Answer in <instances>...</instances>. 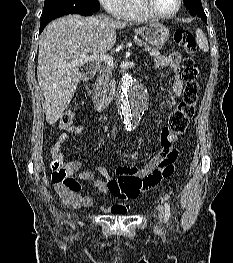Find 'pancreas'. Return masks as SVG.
<instances>
[{
    "mask_svg": "<svg viewBox=\"0 0 233 263\" xmlns=\"http://www.w3.org/2000/svg\"><path fill=\"white\" fill-rule=\"evenodd\" d=\"M135 43L140 46L144 47L146 51H157V49L152 48L151 46L147 45L144 41L135 40ZM99 76L97 77L95 83L93 84V88L91 90L92 99L95 101H99L100 103H104L105 100L111 93L113 89V84L110 81V77L112 76L113 67L112 66H103L98 69Z\"/></svg>",
    "mask_w": 233,
    "mask_h": 263,
    "instance_id": "pancreas-1",
    "label": "pancreas"
}]
</instances>
